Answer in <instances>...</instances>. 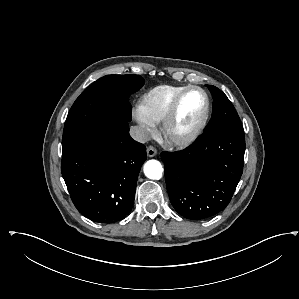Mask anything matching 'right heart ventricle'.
I'll use <instances>...</instances> for the list:
<instances>
[{
  "mask_svg": "<svg viewBox=\"0 0 299 299\" xmlns=\"http://www.w3.org/2000/svg\"><path fill=\"white\" fill-rule=\"evenodd\" d=\"M187 86L160 85L146 92L139 104L142 115L151 123H161L175 97Z\"/></svg>",
  "mask_w": 299,
  "mask_h": 299,
  "instance_id": "1",
  "label": "right heart ventricle"
}]
</instances>
